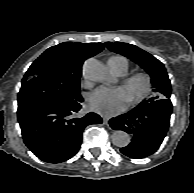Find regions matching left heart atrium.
Listing matches in <instances>:
<instances>
[{
    "label": "left heart atrium",
    "instance_id": "obj_1",
    "mask_svg": "<svg viewBox=\"0 0 194 193\" xmlns=\"http://www.w3.org/2000/svg\"><path fill=\"white\" fill-rule=\"evenodd\" d=\"M89 107L99 114L111 116L121 112L126 104L127 97L124 88L99 87L89 97Z\"/></svg>",
    "mask_w": 194,
    "mask_h": 193
}]
</instances>
